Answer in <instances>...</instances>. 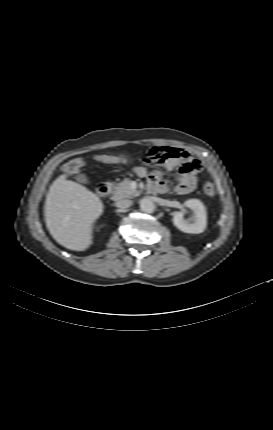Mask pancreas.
<instances>
[{"label":"pancreas","instance_id":"obj_1","mask_svg":"<svg viewBox=\"0 0 273 430\" xmlns=\"http://www.w3.org/2000/svg\"><path fill=\"white\" fill-rule=\"evenodd\" d=\"M131 180L129 178H125L119 184L113 186V194L114 200H120L123 198H133L137 196L139 193L137 190L133 189L130 186Z\"/></svg>","mask_w":273,"mask_h":430}]
</instances>
